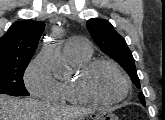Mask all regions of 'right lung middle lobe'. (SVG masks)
I'll use <instances>...</instances> for the list:
<instances>
[{"mask_svg":"<svg viewBox=\"0 0 165 120\" xmlns=\"http://www.w3.org/2000/svg\"><path fill=\"white\" fill-rule=\"evenodd\" d=\"M30 59L0 60V93L11 96H29L23 75Z\"/></svg>","mask_w":165,"mask_h":120,"instance_id":"obj_1","label":"right lung middle lobe"}]
</instances>
